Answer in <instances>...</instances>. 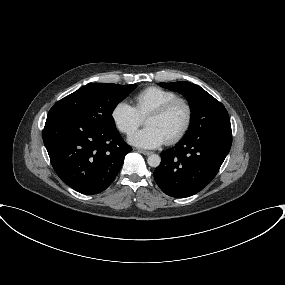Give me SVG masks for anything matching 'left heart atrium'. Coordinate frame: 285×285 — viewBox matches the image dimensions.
<instances>
[{
  "label": "left heart atrium",
  "mask_w": 285,
  "mask_h": 285,
  "mask_svg": "<svg viewBox=\"0 0 285 285\" xmlns=\"http://www.w3.org/2000/svg\"><path fill=\"white\" fill-rule=\"evenodd\" d=\"M128 141L132 145L140 148L153 149L164 144L166 142V138L156 127L146 126L145 128L131 134Z\"/></svg>",
  "instance_id": "1"
}]
</instances>
